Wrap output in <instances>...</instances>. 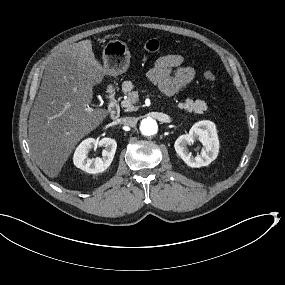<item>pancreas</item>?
I'll return each mask as SVG.
<instances>
[{
    "label": "pancreas",
    "instance_id": "pancreas-1",
    "mask_svg": "<svg viewBox=\"0 0 285 285\" xmlns=\"http://www.w3.org/2000/svg\"><path fill=\"white\" fill-rule=\"evenodd\" d=\"M137 84L134 81H123L122 85L120 86V91L125 93L128 96L127 100L122 102V106L133 109V103L131 96L134 94V89H136ZM177 107L179 109H184L185 111L193 114H202L203 111L206 110L207 104L205 101L201 99L194 100L193 98H187L183 103H178Z\"/></svg>",
    "mask_w": 285,
    "mask_h": 285
}]
</instances>
